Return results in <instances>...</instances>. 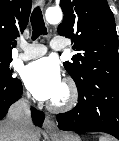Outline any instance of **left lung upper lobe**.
<instances>
[{"instance_id":"1","label":"left lung upper lobe","mask_w":119,"mask_h":141,"mask_svg":"<svg viewBox=\"0 0 119 141\" xmlns=\"http://www.w3.org/2000/svg\"><path fill=\"white\" fill-rule=\"evenodd\" d=\"M64 13L58 26L61 36L71 38L78 53L64 67L77 88L100 75H119L118 36L106 0H60Z\"/></svg>"}]
</instances>
